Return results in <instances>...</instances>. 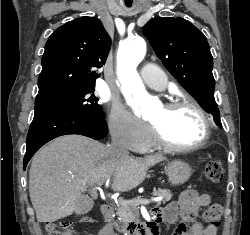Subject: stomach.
Instances as JSON below:
<instances>
[{
    "label": "stomach",
    "instance_id": "stomach-1",
    "mask_svg": "<svg viewBox=\"0 0 250 235\" xmlns=\"http://www.w3.org/2000/svg\"><path fill=\"white\" fill-rule=\"evenodd\" d=\"M165 172L169 182L174 186H178L189 180L192 169L189 164L180 160H174L165 166Z\"/></svg>",
    "mask_w": 250,
    "mask_h": 235
}]
</instances>
